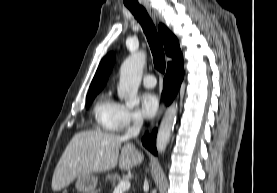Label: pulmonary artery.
<instances>
[{"label": "pulmonary artery", "mask_w": 277, "mask_h": 193, "mask_svg": "<svg viewBox=\"0 0 277 193\" xmlns=\"http://www.w3.org/2000/svg\"><path fill=\"white\" fill-rule=\"evenodd\" d=\"M143 85L147 88H153L156 85V79L154 75L147 74L143 77Z\"/></svg>", "instance_id": "e3ab8cb5"}]
</instances>
